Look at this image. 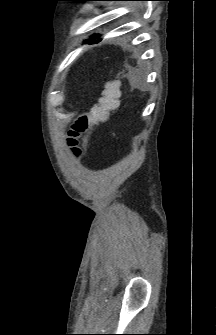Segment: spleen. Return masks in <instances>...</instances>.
Masks as SVG:
<instances>
[{
  "label": "spleen",
  "mask_w": 216,
  "mask_h": 335,
  "mask_svg": "<svg viewBox=\"0 0 216 335\" xmlns=\"http://www.w3.org/2000/svg\"><path fill=\"white\" fill-rule=\"evenodd\" d=\"M129 77H130V82L133 86L138 87L140 85V81L138 77L133 72L129 74Z\"/></svg>",
  "instance_id": "spleen-1"
}]
</instances>
